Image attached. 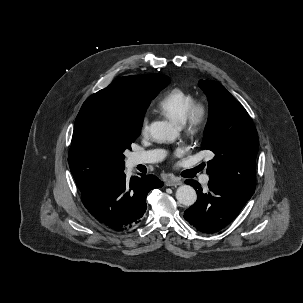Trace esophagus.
<instances>
[{"instance_id":"1","label":"esophagus","mask_w":303,"mask_h":303,"mask_svg":"<svg viewBox=\"0 0 303 303\" xmlns=\"http://www.w3.org/2000/svg\"><path fill=\"white\" fill-rule=\"evenodd\" d=\"M182 181L178 178H172L165 181L166 186H178L181 185Z\"/></svg>"}]
</instances>
